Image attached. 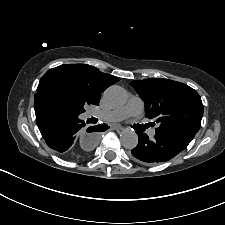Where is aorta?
<instances>
[{
	"label": "aorta",
	"instance_id": "762f6f07",
	"mask_svg": "<svg viewBox=\"0 0 225 225\" xmlns=\"http://www.w3.org/2000/svg\"><path fill=\"white\" fill-rule=\"evenodd\" d=\"M104 98L110 107L117 108L126 104L127 93L120 86H111L105 91ZM120 141L123 147L132 149L138 144V136L134 130L124 129L120 133Z\"/></svg>",
	"mask_w": 225,
	"mask_h": 225
}]
</instances>
